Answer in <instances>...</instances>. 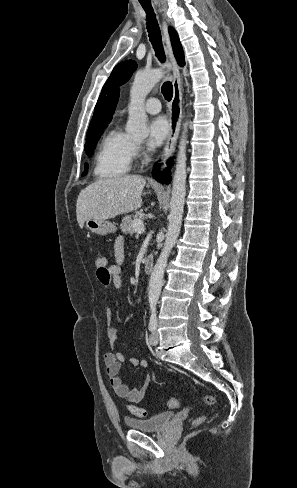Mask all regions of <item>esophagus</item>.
Listing matches in <instances>:
<instances>
[{
	"mask_svg": "<svg viewBox=\"0 0 297 488\" xmlns=\"http://www.w3.org/2000/svg\"><path fill=\"white\" fill-rule=\"evenodd\" d=\"M160 12H163V9L160 7ZM163 16V34H164V41L166 44V52L168 54L170 60V68L172 70V80H173V98L170 105V133L167 138V142L164 148V154L161 162V167H166V161L174 152L175 143L179 134L181 116H182V90H181V78L179 67L175 61L172 45L168 33V23L165 18L164 13Z\"/></svg>",
	"mask_w": 297,
	"mask_h": 488,
	"instance_id": "obj_1",
	"label": "esophagus"
}]
</instances>
